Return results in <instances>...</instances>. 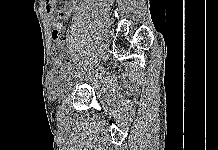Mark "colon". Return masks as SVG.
I'll return each instance as SVG.
<instances>
[{"mask_svg": "<svg viewBox=\"0 0 218 150\" xmlns=\"http://www.w3.org/2000/svg\"><path fill=\"white\" fill-rule=\"evenodd\" d=\"M66 44V33L64 30H54L53 31V47H52V56L54 59H57Z\"/></svg>", "mask_w": 218, "mask_h": 150, "instance_id": "5ec220e1", "label": "colon"}]
</instances>
